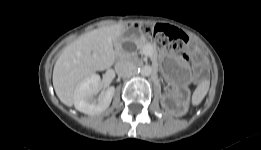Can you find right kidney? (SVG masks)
Wrapping results in <instances>:
<instances>
[{
	"mask_svg": "<svg viewBox=\"0 0 261 150\" xmlns=\"http://www.w3.org/2000/svg\"><path fill=\"white\" fill-rule=\"evenodd\" d=\"M101 86L100 76L93 74L84 78L74 90V106L85 114L94 115L107 109L115 93L114 87H108L98 98L94 96Z\"/></svg>",
	"mask_w": 261,
	"mask_h": 150,
	"instance_id": "obj_1",
	"label": "right kidney"
}]
</instances>
